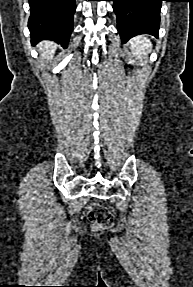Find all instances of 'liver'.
I'll list each match as a JSON object with an SVG mask.
<instances>
[{"label":"liver","instance_id":"1","mask_svg":"<svg viewBox=\"0 0 193 287\" xmlns=\"http://www.w3.org/2000/svg\"><path fill=\"white\" fill-rule=\"evenodd\" d=\"M56 47H57L56 44L53 42H50V41L42 42L39 45L41 58L46 61L50 60L56 51Z\"/></svg>","mask_w":193,"mask_h":287}]
</instances>
